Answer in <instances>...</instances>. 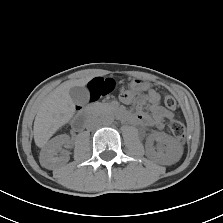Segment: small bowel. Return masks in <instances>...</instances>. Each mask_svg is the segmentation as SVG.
<instances>
[{
	"instance_id": "small-bowel-1",
	"label": "small bowel",
	"mask_w": 223,
	"mask_h": 223,
	"mask_svg": "<svg viewBox=\"0 0 223 223\" xmlns=\"http://www.w3.org/2000/svg\"><path fill=\"white\" fill-rule=\"evenodd\" d=\"M132 99L133 97L130 94L125 93L121 95V101L123 103H130ZM142 104L149 107L150 114L141 112L137 115H128L129 122L145 127L161 128L163 126V120L172 117V113L160 105V96L155 90L150 89L143 95Z\"/></svg>"
}]
</instances>
